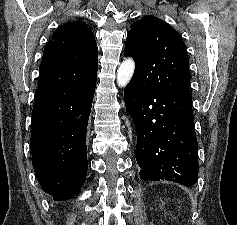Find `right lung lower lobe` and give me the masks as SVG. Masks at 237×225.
<instances>
[{
    "label": "right lung lower lobe",
    "mask_w": 237,
    "mask_h": 225,
    "mask_svg": "<svg viewBox=\"0 0 237 225\" xmlns=\"http://www.w3.org/2000/svg\"><path fill=\"white\" fill-rule=\"evenodd\" d=\"M96 80L61 94L34 98L33 168L41 188L55 201L78 195L85 182L86 132Z\"/></svg>",
    "instance_id": "1"
}]
</instances>
